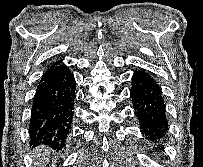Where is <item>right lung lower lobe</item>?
<instances>
[{
  "label": "right lung lower lobe",
  "mask_w": 203,
  "mask_h": 167,
  "mask_svg": "<svg viewBox=\"0 0 203 167\" xmlns=\"http://www.w3.org/2000/svg\"><path fill=\"white\" fill-rule=\"evenodd\" d=\"M75 79L65 65L42 76L37 86L29 123L30 145L61 150L71 131Z\"/></svg>",
  "instance_id": "obj_1"
}]
</instances>
